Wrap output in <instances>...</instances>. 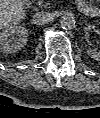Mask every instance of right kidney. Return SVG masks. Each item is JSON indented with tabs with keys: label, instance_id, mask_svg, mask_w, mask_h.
Returning <instances> with one entry per match:
<instances>
[{
	"label": "right kidney",
	"instance_id": "1",
	"mask_svg": "<svg viewBox=\"0 0 100 118\" xmlns=\"http://www.w3.org/2000/svg\"><path fill=\"white\" fill-rule=\"evenodd\" d=\"M28 31L24 27L8 24L0 33V50L2 53H15L26 45Z\"/></svg>",
	"mask_w": 100,
	"mask_h": 118
}]
</instances>
